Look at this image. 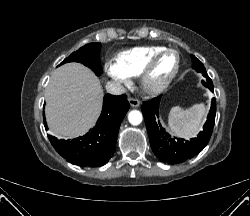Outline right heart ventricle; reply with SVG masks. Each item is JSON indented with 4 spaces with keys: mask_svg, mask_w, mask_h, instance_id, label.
<instances>
[{
    "mask_svg": "<svg viewBox=\"0 0 250 216\" xmlns=\"http://www.w3.org/2000/svg\"><path fill=\"white\" fill-rule=\"evenodd\" d=\"M165 49L163 46L149 45L135 47L121 52L117 57V64L128 76H140L150 58Z\"/></svg>",
    "mask_w": 250,
    "mask_h": 216,
    "instance_id": "obj_1",
    "label": "right heart ventricle"
}]
</instances>
